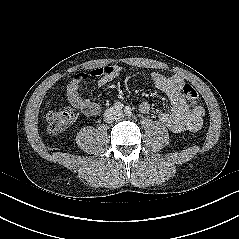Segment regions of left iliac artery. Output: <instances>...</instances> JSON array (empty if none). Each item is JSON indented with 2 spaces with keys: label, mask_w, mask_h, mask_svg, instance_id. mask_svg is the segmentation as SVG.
<instances>
[{
  "label": "left iliac artery",
  "mask_w": 239,
  "mask_h": 239,
  "mask_svg": "<svg viewBox=\"0 0 239 239\" xmlns=\"http://www.w3.org/2000/svg\"><path fill=\"white\" fill-rule=\"evenodd\" d=\"M124 112H125V114L128 115V116H131V115H132L131 108L128 107V106L125 107Z\"/></svg>",
  "instance_id": "1"
}]
</instances>
